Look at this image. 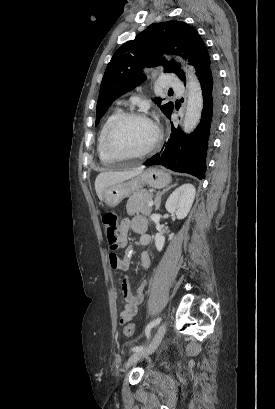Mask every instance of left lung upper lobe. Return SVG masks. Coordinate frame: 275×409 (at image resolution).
<instances>
[{
  "label": "left lung upper lobe",
  "mask_w": 275,
  "mask_h": 409,
  "mask_svg": "<svg viewBox=\"0 0 275 409\" xmlns=\"http://www.w3.org/2000/svg\"><path fill=\"white\" fill-rule=\"evenodd\" d=\"M162 53L177 54L188 59L197 76L211 63L203 40L188 24L173 20L151 24L134 40L123 44L107 65L97 101L96 124L115 99L146 80L142 73L143 67L161 64L164 72H173L185 82L180 65L165 59L161 61ZM161 101L162 99L155 98L159 106ZM160 108L164 114L169 115L173 110V103L168 102Z\"/></svg>",
  "instance_id": "1"
}]
</instances>
